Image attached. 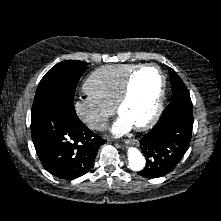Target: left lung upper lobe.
Wrapping results in <instances>:
<instances>
[{
    "instance_id": "obj_1",
    "label": "left lung upper lobe",
    "mask_w": 221,
    "mask_h": 221,
    "mask_svg": "<svg viewBox=\"0 0 221 221\" xmlns=\"http://www.w3.org/2000/svg\"><path fill=\"white\" fill-rule=\"evenodd\" d=\"M169 75L171 79L172 86V102L168 107L177 105V104H192L189 91L179 75L173 70L169 69Z\"/></svg>"
}]
</instances>
